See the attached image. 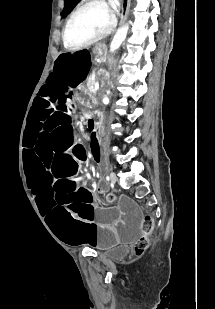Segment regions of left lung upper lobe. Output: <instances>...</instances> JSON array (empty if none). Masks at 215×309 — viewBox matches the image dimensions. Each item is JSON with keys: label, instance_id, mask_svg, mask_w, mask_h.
<instances>
[{"label": "left lung upper lobe", "instance_id": "left-lung-upper-lobe-1", "mask_svg": "<svg viewBox=\"0 0 215 309\" xmlns=\"http://www.w3.org/2000/svg\"><path fill=\"white\" fill-rule=\"evenodd\" d=\"M78 0H65V7L63 10V17H66V15L72 10L73 5L77 2Z\"/></svg>", "mask_w": 215, "mask_h": 309}]
</instances>
